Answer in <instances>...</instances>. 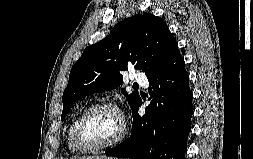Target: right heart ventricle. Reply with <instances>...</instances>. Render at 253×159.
<instances>
[{"label":"right heart ventricle","mask_w":253,"mask_h":159,"mask_svg":"<svg viewBox=\"0 0 253 159\" xmlns=\"http://www.w3.org/2000/svg\"><path fill=\"white\" fill-rule=\"evenodd\" d=\"M85 109L86 108L84 107L81 110H79L76 114H74V116L71 118L70 123L68 125L67 133H66V142H67V146H68L69 150H71V151H76L77 150L74 147L73 142H72L73 127H74V124H75L76 120L78 119L79 115Z\"/></svg>","instance_id":"1"}]
</instances>
